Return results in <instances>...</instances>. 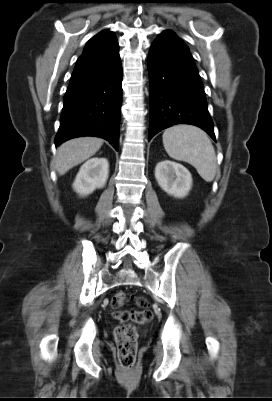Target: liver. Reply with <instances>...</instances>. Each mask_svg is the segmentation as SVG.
<instances>
[{"instance_id": "liver-1", "label": "liver", "mask_w": 272, "mask_h": 401, "mask_svg": "<svg viewBox=\"0 0 272 401\" xmlns=\"http://www.w3.org/2000/svg\"><path fill=\"white\" fill-rule=\"evenodd\" d=\"M103 145L97 137H79L66 141L57 150L55 167L59 175H64L74 166L93 156Z\"/></svg>"}]
</instances>
